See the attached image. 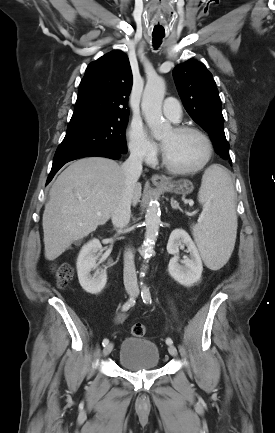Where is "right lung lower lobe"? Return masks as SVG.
Masks as SVG:
<instances>
[{"label": "right lung lower lobe", "instance_id": "98d812e1", "mask_svg": "<svg viewBox=\"0 0 275 433\" xmlns=\"http://www.w3.org/2000/svg\"><path fill=\"white\" fill-rule=\"evenodd\" d=\"M121 152L113 150V149H94L89 151H82V152H73V153H65V154H59L54 156L53 165L51 172L48 176L46 185L52 180L54 175L58 172V170L67 162L83 158V157H89V156H100V157H107L111 159H119L121 158Z\"/></svg>", "mask_w": 275, "mask_h": 433}]
</instances>
